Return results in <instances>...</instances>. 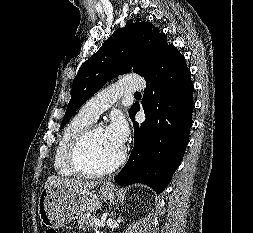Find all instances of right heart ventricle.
Returning <instances> with one entry per match:
<instances>
[{
    "label": "right heart ventricle",
    "mask_w": 253,
    "mask_h": 233,
    "mask_svg": "<svg viewBox=\"0 0 253 233\" xmlns=\"http://www.w3.org/2000/svg\"><path fill=\"white\" fill-rule=\"evenodd\" d=\"M94 119L81 114L75 115L62 131L55 149L53 165L56 173L61 176H76L68 163V156L73 142L82 134Z\"/></svg>",
    "instance_id": "right-heart-ventricle-1"
}]
</instances>
